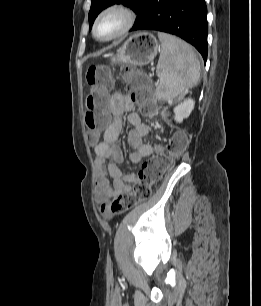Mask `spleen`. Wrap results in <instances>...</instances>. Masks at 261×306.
<instances>
[{"label":"spleen","mask_w":261,"mask_h":306,"mask_svg":"<svg viewBox=\"0 0 261 306\" xmlns=\"http://www.w3.org/2000/svg\"><path fill=\"white\" fill-rule=\"evenodd\" d=\"M161 54L156 74L160 83L156 88L159 100L183 97L200 79V62L194 50L184 41L166 33H158Z\"/></svg>","instance_id":"3e777b00"}]
</instances>
